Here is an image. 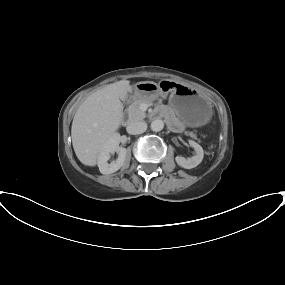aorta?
Returning a JSON list of instances; mask_svg holds the SVG:
<instances>
[{
  "instance_id": "762f6f07",
  "label": "aorta",
  "mask_w": 285,
  "mask_h": 285,
  "mask_svg": "<svg viewBox=\"0 0 285 285\" xmlns=\"http://www.w3.org/2000/svg\"><path fill=\"white\" fill-rule=\"evenodd\" d=\"M151 130L154 132H159L164 128V122L160 119H156L151 122Z\"/></svg>"
}]
</instances>
